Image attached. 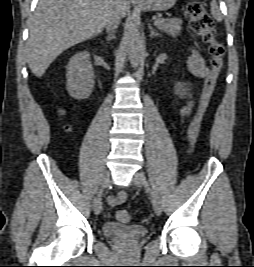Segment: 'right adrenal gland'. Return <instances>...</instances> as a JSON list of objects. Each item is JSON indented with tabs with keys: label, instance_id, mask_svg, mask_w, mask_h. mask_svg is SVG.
I'll return each mask as SVG.
<instances>
[{
	"label": "right adrenal gland",
	"instance_id": "1",
	"mask_svg": "<svg viewBox=\"0 0 254 267\" xmlns=\"http://www.w3.org/2000/svg\"><path fill=\"white\" fill-rule=\"evenodd\" d=\"M113 39H115L114 34H110V35L107 36V40H108V41H111V40H113Z\"/></svg>",
	"mask_w": 254,
	"mask_h": 267
}]
</instances>
